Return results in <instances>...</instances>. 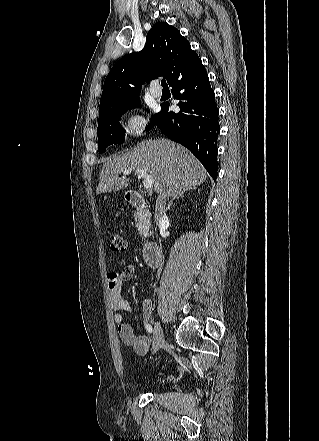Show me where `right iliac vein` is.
I'll list each match as a JSON object with an SVG mask.
<instances>
[{"label": "right iliac vein", "instance_id": "1", "mask_svg": "<svg viewBox=\"0 0 319 441\" xmlns=\"http://www.w3.org/2000/svg\"><path fill=\"white\" fill-rule=\"evenodd\" d=\"M164 344V335L160 322H156L154 326V334H153V346L152 353H156Z\"/></svg>", "mask_w": 319, "mask_h": 441}]
</instances>
